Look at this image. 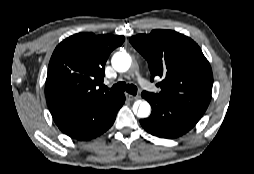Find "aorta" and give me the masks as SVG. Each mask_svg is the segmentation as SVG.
I'll return each instance as SVG.
<instances>
[{
	"label": "aorta",
	"instance_id": "obj_1",
	"mask_svg": "<svg viewBox=\"0 0 254 174\" xmlns=\"http://www.w3.org/2000/svg\"><path fill=\"white\" fill-rule=\"evenodd\" d=\"M113 68L118 72H125L131 67V57L125 52H117L111 59ZM151 113V106L148 102L143 101L140 103L137 116L139 118H147Z\"/></svg>",
	"mask_w": 254,
	"mask_h": 174
}]
</instances>
